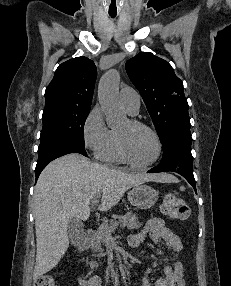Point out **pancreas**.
<instances>
[{
	"instance_id": "1",
	"label": "pancreas",
	"mask_w": 231,
	"mask_h": 286,
	"mask_svg": "<svg viewBox=\"0 0 231 286\" xmlns=\"http://www.w3.org/2000/svg\"><path fill=\"white\" fill-rule=\"evenodd\" d=\"M118 219L119 222L116 221ZM116 223H120L121 227H127L129 229H139L141 224L138 221V217L133 213H127L121 216H115L114 219L110 221H104L96 231L93 239L92 249L95 252H98V256L100 257L104 251L102 247V243H106V241L111 237V232L114 231V226ZM98 264L95 262H90V267L95 268Z\"/></svg>"
}]
</instances>
